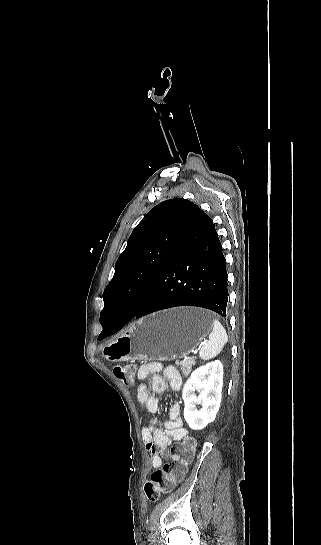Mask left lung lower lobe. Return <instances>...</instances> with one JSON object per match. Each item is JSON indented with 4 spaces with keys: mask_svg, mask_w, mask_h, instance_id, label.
I'll list each match as a JSON object with an SVG mask.
<instances>
[{
    "mask_svg": "<svg viewBox=\"0 0 321 545\" xmlns=\"http://www.w3.org/2000/svg\"><path fill=\"white\" fill-rule=\"evenodd\" d=\"M226 260L211 218L198 206L149 294L133 311L113 310L103 324L105 337L132 318L177 306H197L226 316Z\"/></svg>",
    "mask_w": 321,
    "mask_h": 545,
    "instance_id": "0a47b994",
    "label": "left lung lower lobe"
}]
</instances>
